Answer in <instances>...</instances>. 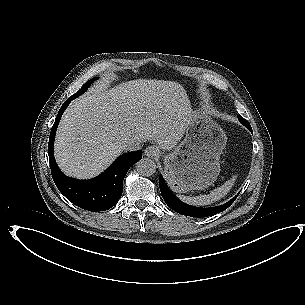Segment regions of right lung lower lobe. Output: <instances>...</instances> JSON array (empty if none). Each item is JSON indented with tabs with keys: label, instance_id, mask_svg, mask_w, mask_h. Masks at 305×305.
<instances>
[{
	"label": "right lung lower lobe",
	"instance_id": "right-lung-lower-lobe-1",
	"mask_svg": "<svg viewBox=\"0 0 305 305\" xmlns=\"http://www.w3.org/2000/svg\"><path fill=\"white\" fill-rule=\"evenodd\" d=\"M73 99L75 98L69 97L63 103L51 129L48 155L52 177L59 191L76 206L89 211H104L119 201L123 179L129 168L142 158V151L119 156L107 170L90 180H77L65 176L55 162L53 144L60 118Z\"/></svg>",
	"mask_w": 305,
	"mask_h": 305
}]
</instances>
